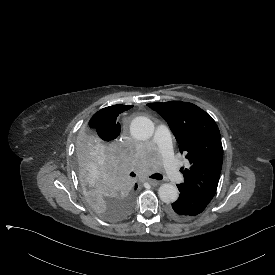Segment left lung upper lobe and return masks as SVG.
Wrapping results in <instances>:
<instances>
[{
    "mask_svg": "<svg viewBox=\"0 0 275 275\" xmlns=\"http://www.w3.org/2000/svg\"><path fill=\"white\" fill-rule=\"evenodd\" d=\"M172 130L181 153L186 154L191 166L182 168L184 182L177 185L189 188L211 200L217 190L222 168L223 148L215 121L198 106L171 101L149 103Z\"/></svg>",
    "mask_w": 275,
    "mask_h": 275,
    "instance_id": "1",
    "label": "left lung upper lobe"
}]
</instances>
